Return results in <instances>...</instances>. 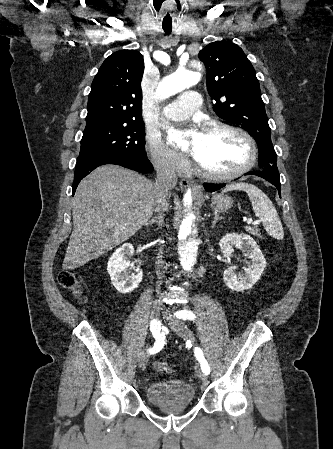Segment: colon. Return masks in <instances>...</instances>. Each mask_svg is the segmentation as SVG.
<instances>
[{"mask_svg": "<svg viewBox=\"0 0 333 449\" xmlns=\"http://www.w3.org/2000/svg\"><path fill=\"white\" fill-rule=\"evenodd\" d=\"M58 282L62 287L72 290L75 296L83 300L81 283L77 274L70 270H62L58 275ZM154 368L157 372L162 374H169L172 372V368L165 362H156Z\"/></svg>", "mask_w": 333, "mask_h": 449, "instance_id": "obj_1", "label": "colon"}]
</instances>
